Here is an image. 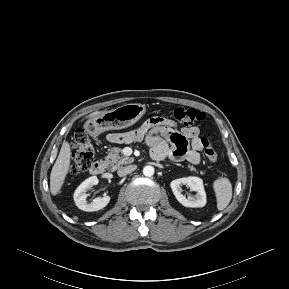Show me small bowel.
I'll return each mask as SVG.
<instances>
[{"label": "small bowel", "mask_w": 289, "mask_h": 289, "mask_svg": "<svg viewBox=\"0 0 289 289\" xmlns=\"http://www.w3.org/2000/svg\"><path fill=\"white\" fill-rule=\"evenodd\" d=\"M108 140L113 143L145 140L154 160L168 156L171 160H187L192 164L200 162V152L204 149L197 127H184L178 131L172 122L163 118H151L128 133L110 134Z\"/></svg>", "instance_id": "c3829d8e"}]
</instances>
